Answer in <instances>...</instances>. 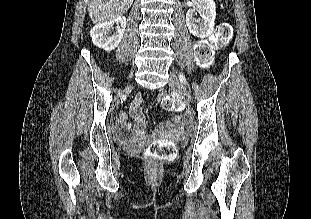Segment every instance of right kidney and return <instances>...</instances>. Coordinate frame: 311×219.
I'll list each match as a JSON object with an SVG mask.
<instances>
[{
    "label": "right kidney",
    "instance_id": "obj_1",
    "mask_svg": "<svg viewBox=\"0 0 311 219\" xmlns=\"http://www.w3.org/2000/svg\"><path fill=\"white\" fill-rule=\"evenodd\" d=\"M114 24L117 25V32L112 36H109V30L113 27ZM125 28L126 18L123 16L95 25L90 31L92 42L98 48H101L107 52L112 51L121 42Z\"/></svg>",
    "mask_w": 311,
    "mask_h": 219
}]
</instances>
